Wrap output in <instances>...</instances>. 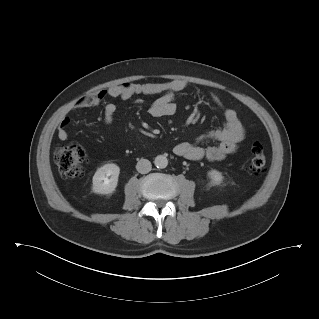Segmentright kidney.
<instances>
[{"label": "right kidney", "mask_w": 319, "mask_h": 319, "mask_svg": "<svg viewBox=\"0 0 319 319\" xmlns=\"http://www.w3.org/2000/svg\"><path fill=\"white\" fill-rule=\"evenodd\" d=\"M119 173L120 168L114 163L105 164L98 168L93 176V192L97 194L112 193L117 187Z\"/></svg>", "instance_id": "ca27d5eb"}]
</instances>
